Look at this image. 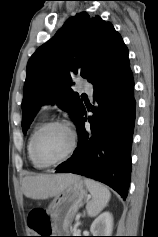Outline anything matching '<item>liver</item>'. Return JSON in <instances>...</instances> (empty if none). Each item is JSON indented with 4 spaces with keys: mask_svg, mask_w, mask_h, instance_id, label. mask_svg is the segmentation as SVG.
I'll use <instances>...</instances> for the list:
<instances>
[{
    "mask_svg": "<svg viewBox=\"0 0 158 237\" xmlns=\"http://www.w3.org/2000/svg\"><path fill=\"white\" fill-rule=\"evenodd\" d=\"M80 179L74 174H39L22 180L25 196L33 199H48L60 194L68 185Z\"/></svg>",
    "mask_w": 158,
    "mask_h": 237,
    "instance_id": "obj_1",
    "label": "liver"
}]
</instances>
